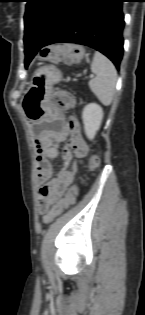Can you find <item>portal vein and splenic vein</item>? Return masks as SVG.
I'll return each instance as SVG.
<instances>
[{"instance_id": "portal-vein-and-splenic-vein-1", "label": "portal vein and splenic vein", "mask_w": 145, "mask_h": 315, "mask_svg": "<svg viewBox=\"0 0 145 315\" xmlns=\"http://www.w3.org/2000/svg\"><path fill=\"white\" fill-rule=\"evenodd\" d=\"M94 77V75H90V78H93Z\"/></svg>"}]
</instances>
